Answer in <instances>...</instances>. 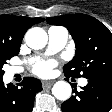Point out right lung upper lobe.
Here are the masks:
<instances>
[{
	"label": "right lung upper lobe",
	"instance_id": "obj_1",
	"mask_svg": "<svg viewBox=\"0 0 112 112\" xmlns=\"http://www.w3.org/2000/svg\"><path fill=\"white\" fill-rule=\"evenodd\" d=\"M43 18L0 15V43L6 45L21 44L26 31L34 24L43 22Z\"/></svg>",
	"mask_w": 112,
	"mask_h": 112
}]
</instances>
